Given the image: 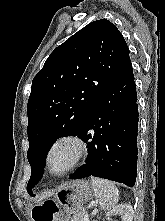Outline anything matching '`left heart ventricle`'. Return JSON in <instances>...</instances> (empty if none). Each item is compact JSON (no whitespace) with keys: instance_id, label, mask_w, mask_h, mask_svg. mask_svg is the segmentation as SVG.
<instances>
[{"instance_id":"1","label":"left heart ventricle","mask_w":165,"mask_h":221,"mask_svg":"<svg viewBox=\"0 0 165 221\" xmlns=\"http://www.w3.org/2000/svg\"><path fill=\"white\" fill-rule=\"evenodd\" d=\"M75 155V147L71 143H61L56 146L50 155V166L54 171L67 168Z\"/></svg>"}]
</instances>
